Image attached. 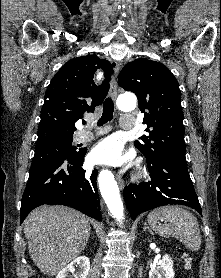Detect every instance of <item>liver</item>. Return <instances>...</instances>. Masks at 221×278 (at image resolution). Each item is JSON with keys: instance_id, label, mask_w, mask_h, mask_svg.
I'll return each instance as SVG.
<instances>
[{"instance_id": "1", "label": "liver", "mask_w": 221, "mask_h": 278, "mask_svg": "<svg viewBox=\"0 0 221 278\" xmlns=\"http://www.w3.org/2000/svg\"><path fill=\"white\" fill-rule=\"evenodd\" d=\"M90 230L86 216L58 205L38 207L24 222L30 257L48 276L56 275L81 254Z\"/></svg>"}]
</instances>
